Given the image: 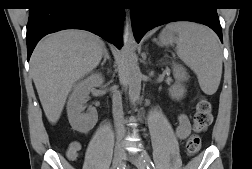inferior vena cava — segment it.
<instances>
[{
    "label": "inferior vena cava",
    "mask_w": 252,
    "mask_h": 169,
    "mask_svg": "<svg viewBox=\"0 0 252 169\" xmlns=\"http://www.w3.org/2000/svg\"><path fill=\"white\" fill-rule=\"evenodd\" d=\"M112 114H113L115 131H116V147L122 148L123 143H124V138L126 135V130H125V125H124L122 97L117 87H113V91H112Z\"/></svg>",
    "instance_id": "obj_1"
}]
</instances>
